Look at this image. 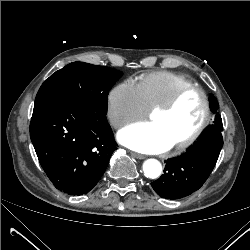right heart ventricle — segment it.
Here are the masks:
<instances>
[{
    "label": "right heart ventricle",
    "mask_w": 250,
    "mask_h": 250,
    "mask_svg": "<svg viewBox=\"0 0 250 250\" xmlns=\"http://www.w3.org/2000/svg\"><path fill=\"white\" fill-rule=\"evenodd\" d=\"M146 108L165 103L177 90L193 83L183 75L158 71L142 75L136 83Z\"/></svg>",
    "instance_id": "right-heart-ventricle-1"
}]
</instances>
